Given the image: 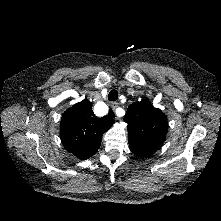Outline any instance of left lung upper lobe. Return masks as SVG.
Returning a JSON list of instances; mask_svg holds the SVG:
<instances>
[{
  "label": "left lung upper lobe",
  "mask_w": 221,
  "mask_h": 221,
  "mask_svg": "<svg viewBox=\"0 0 221 221\" xmlns=\"http://www.w3.org/2000/svg\"><path fill=\"white\" fill-rule=\"evenodd\" d=\"M124 121L128 124L130 150L138 157L153 155L165 141L167 118L147 100L131 104Z\"/></svg>",
  "instance_id": "1"
}]
</instances>
